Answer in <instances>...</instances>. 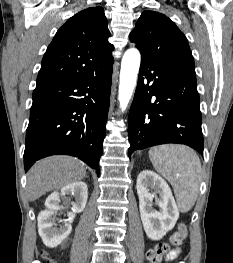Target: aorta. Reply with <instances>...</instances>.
<instances>
[{"label": "aorta", "mask_w": 233, "mask_h": 263, "mask_svg": "<svg viewBox=\"0 0 233 263\" xmlns=\"http://www.w3.org/2000/svg\"><path fill=\"white\" fill-rule=\"evenodd\" d=\"M140 60V52L135 48L128 49L122 58L118 95L122 110L126 109L136 86Z\"/></svg>", "instance_id": "aorta-1"}]
</instances>
